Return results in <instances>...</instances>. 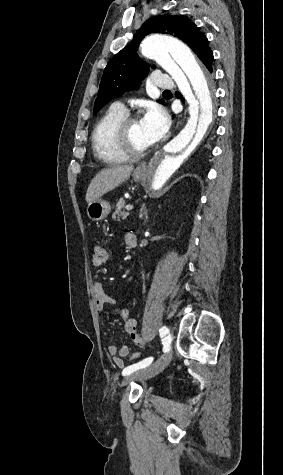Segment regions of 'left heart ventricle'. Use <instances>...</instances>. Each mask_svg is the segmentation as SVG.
Instances as JSON below:
<instances>
[{
    "label": "left heart ventricle",
    "mask_w": 283,
    "mask_h": 475,
    "mask_svg": "<svg viewBox=\"0 0 283 475\" xmlns=\"http://www.w3.org/2000/svg\"><path fill=\"white\" fill-rule=\"evenodd\" d=\"M146 129L142 121L137 119L132 123L130 132V145L125 143H112L105 148V151L111 155L125 154L129 155L133 150H146L152 145V142L145 135Z\"/></svg>",
    "instance_id": "obj_1"
}]
</instances>
